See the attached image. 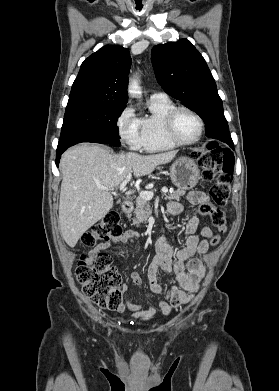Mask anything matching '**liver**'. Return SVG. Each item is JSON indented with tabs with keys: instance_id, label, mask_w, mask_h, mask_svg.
Instances as JSON below:
<instances>
[{
	"instance_id": "obj_1",
	"label": "liver",
	"mask_w": 279,
	"mask_h": 391,
	"mask_svg": "<svg viewBox=\"0 0 279 391\" xmlns=\"http://www.w3.org/2000/svg\"><path fill=\"white\" fill-rule=\"evenodd\" d=\"M175 156L176 152L116 155L103 146L88 143L67 150L60 162L62 183L58 220L65 242L75 247L81 236L112 208V195L99 186L114 188L129 173L136 178L148 175Z\"/></svg>"
}]
</instances>
